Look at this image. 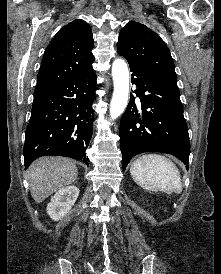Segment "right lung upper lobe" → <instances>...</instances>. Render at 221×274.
<instances>
[{
    "instance_id": "cb5924a9",
    "label": "right lung upper lobe",
    "mask_w": 221,
    "mask_h": 274,
    "mask_svg": "<svg viewBox=\"0 0 221 274\" xmlns=\"http://www.w3.org/2000/svg\"><path fill=\"white\" fill-rule=\"evenodd\" d=\"M93 46L92 31L85 21L74 20L61 28L44 53L35 92L93 71Z\"/></svg>"
}]
</instances>
